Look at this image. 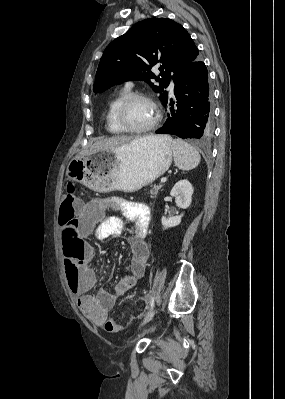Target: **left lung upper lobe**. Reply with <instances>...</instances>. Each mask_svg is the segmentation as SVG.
I'll return each mask as SVG.
<instances>
[{"instance_id": "obj_1", "label": "left lung upper lobe", "mask_w": 285, "mask_h": 399, "mask_svg": "<svg viewBox=\"0 0 285 399\" xmlns=\"http://www.w3.org/2000/svg\"><path fill=\"white\" fill-rule=\"evenodd\" d=\"M198 48L189 33L169 18H150L138 22L124 35L116 38L101 57L94 92H102L124 81L143 80L160 83L152 88L166 103L170 78L175 79L183 67L197 58ZM161 71L156 77L151 68ZM172 74V76H171Z\"/></svg>"}]
</instances>
